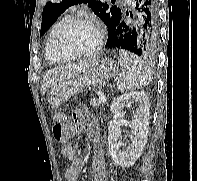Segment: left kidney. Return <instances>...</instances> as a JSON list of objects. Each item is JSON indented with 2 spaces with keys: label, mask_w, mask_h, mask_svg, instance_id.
<instances>
[{
  "label": "left kidney",
  "mask_w": 197,
  "mask_h": 181,
  "mask_svg": "<svg viewBox=\"0 0 197 181\" xmlns=\"http://www.w3.org/2000/svg\"><path fill=\"white\" fill-rule=\"evenodd\" d=\"M135 103L136 111L134 120H124L125 108H131ZM150 103L145 92H130L117 97L111 104L110 110L114 114L108 123V148L109 153L120 167H130L141 156L147 142L149 130ZM128 125L132 129L131 143L121 150V129Z\"/></svg>",
  "instance_id": "left-kidney-1"
}]
</instances>
